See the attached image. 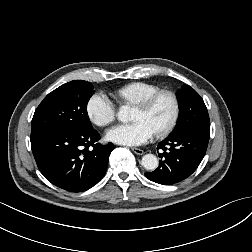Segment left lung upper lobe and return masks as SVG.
<instances>
[{
    "label": "left lung upper lobe",
    "mask_w": 252,
    "mask_h": 252,
    "mask_svg": "<svg viewBox=\"0 0 252 252\" xmlns=\"http://www.w3.org/2000/svg\"><path fill=\"white\" fill-rule=\"evenodd\" d=\"M180 114L174 130L169 136L177 135L193 128L210 129L209 115L203 99L190 86L185 85L178 92Z\"/></svg>",
    "instance_id": "5c2ea615"
}]
</instances>
